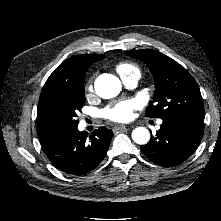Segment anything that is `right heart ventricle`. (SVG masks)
I'll return each mask as SVG.
<instances>
[{"mask_svg":"<svg viewBox=\"0 0 221 221\" xmlns=\"http://www.w3.org/2000/svg\"><path fill=\"white\" fill-rule=\"evenodd\" d=\"M116 71L118 74L123 77L127 76L129 74H139L140 75V69L137 65L131 62H121L116 66Z\"/></svg>","mask_w":221,"mask_h":221,"instance_id":"obj_1","label":"right heart ventricle"}]
</instances>
